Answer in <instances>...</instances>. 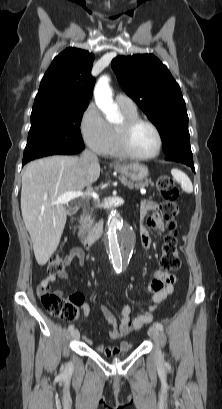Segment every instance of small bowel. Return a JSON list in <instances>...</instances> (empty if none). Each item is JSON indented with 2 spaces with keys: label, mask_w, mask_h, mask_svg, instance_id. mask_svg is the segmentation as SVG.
Wrapping results in <instances>:
<instances>
[{
  "label": "small bowel",
  "mask_w": 222,
  "mask_h": 409,
  "mask_svg": "<svg viewBox=\"0 0 222 409\" xmlns=\"http://www.w3.org/2000/svg\"><path fill=\"white\" fill-rule=\"evenodd\" d=\"M159 205L158 203L151 200H144L141 203L140 207V239L141 243L145 249L151 248V238H150V229L157 231L164 230L163 219L158 212ZM75 260H78L81 265L85 261V252L80 247H74L70 252L65 256V266H70ZM155 279L148 283L149 295L151 297L150 303L146 306L142 313L132 316L131 308L128 305H123L119 318L115 317L110 313V311L101 306L100 310L104 313L106 317V325L108 327V334L111 339L118 340L124 339L132 331L137 330L144 326L146 323L150 322L152 319V312L157 307V305L163 301L168 295L172 294L174 291L173 284L175 282L174 276H168L167 273L162 272L161 269L154 270ZM68 274L65 271L60 272L57 275H49L47 278L41 281L38 286V294L44 291H48L53 283L60 279H66ZM61 292V290H57ZM80 308L83 312V316L87 317L89 315L90 309L89 306L85 303L80 304ZM88 343H91V340L86 338ZM132 347L131 342L123 341L120 345L117 346H103L100 345L97 347L98 352L110 356L120 352L128 351Z\"/></svg>",
  "instance_id": "1"
}]
</instances>
